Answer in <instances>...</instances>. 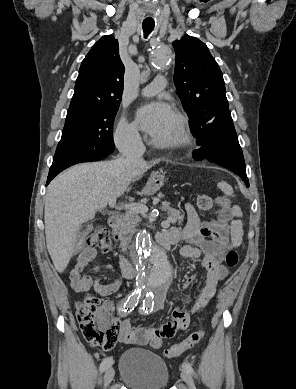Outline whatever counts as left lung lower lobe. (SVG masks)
<instances>
[{"label": "left lung lower lobe", "instance_id": "obj_1", "mask_svg": "<svg viewBox=\"0 0 296 389\" xmlns=\"http://www.w3.org/2000/svg\"><path fill=\"white\" fill-rule=\"evenodd\" d=\"M200 131L197 137L200 147L193 151V158L197 161L205 159L233 171L249 187L246 165L230 111L217 115Z\"/></svg>", "mask_w": 296, "mask_h": 389}]
</instances>
